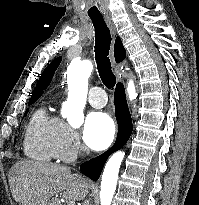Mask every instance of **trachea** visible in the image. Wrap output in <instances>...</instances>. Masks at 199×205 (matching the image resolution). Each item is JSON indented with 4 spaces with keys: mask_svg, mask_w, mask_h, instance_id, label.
Here are the masks:
<instances>
[{
    "mask_svg": "<svg viewBox=\"0 0 199 205\" xmlns=\"http://www.w3.org/2000/svg\"><path fill=\"white\" fill-rule=\"evenodd\" d=\"M95 29V59L99 76L103 84L110 90L114 89L116 77L112 72L111 62L108 57L111 44L110 30L103 17H90Z\"/></svg>",
    "mask_w": 199,
    "mask_h": 205,
    "instance_id": "obj_1",
    "label": "trachea"
}]
</instances>
